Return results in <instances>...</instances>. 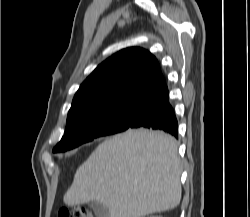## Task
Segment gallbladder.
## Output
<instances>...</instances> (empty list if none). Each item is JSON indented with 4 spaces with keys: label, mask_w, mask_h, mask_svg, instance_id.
<instances>
[{
    "label": "gallbladder",
    "mask_w": 250,
    "mask_h": 217,
    "mask_svg": "<svg viewBox=\"0 0 250 217\" xmlns=\"http://www.w3.org/2000/svg\"><path fill=\"white\" fill-rule=\"evenodd\" d=\"M89 206L94 211L96 217H109L108 208L100 202H91Z\"/></svg>",
    "instance_id": "obj_1"
}]
</instances>
